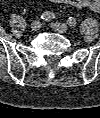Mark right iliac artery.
Returning <instances> with one entry per match:
<instances>
[{
  "mask_svg": "<svg viewBox=\"0 0 100 118\" xmlns=\"http://www.w3.org/2000/svg\"><path fill=\"white\" fill-rule=\"evenodd\" d=\"M55 18L54 13L50 12V11H46L41 15V19L45 20V21H50L52 19Z\"/></svg>",
  "mask_w": 100,
  "mask_h": 118,
  "instance_id": "1",
  "label": "right iliac artery"
}]
</instances>
